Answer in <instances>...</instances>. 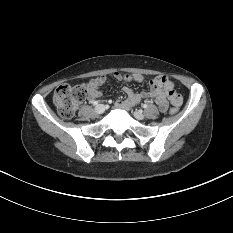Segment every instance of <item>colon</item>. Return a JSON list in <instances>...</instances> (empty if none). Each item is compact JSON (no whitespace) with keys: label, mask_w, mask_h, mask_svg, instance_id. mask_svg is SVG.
Wrapping results in <instances>:
<instances>
[{"label":"colon","mask_w":233,"mask_h":233,"mask_svg":"<svg viewBox=\"0 0 233 233\" xmlns=\"http://www.w3.org/2000/svg\"><path fill=\"white\" fill-rule=\"evenodd\" d=\"M175 90L174 88L169 89ZM176 91V90H175ZM88 88L85 85L70 86L67 84L59 86L53 96L59 114L63 118H71L78 106L86 99ZM178 98L175 100L177 102ZM178 105L174 104L170 109L171 114L178 112Z\"/></svg>","instance_id":"colon-1"}]
</instances>
